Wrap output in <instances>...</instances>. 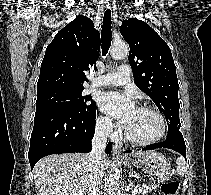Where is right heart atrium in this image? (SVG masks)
Masks as SVG:
<instances>
[{"instance_id":"1","label":"right heart atrium","mask_w":211,"mask_h":195,"mask_svg":"<svg viewBox=\"0 0 211 195\" xmlns=\"http://www.w3.org/2000/svg\"><path fill=\"white\" fill-rule=\"evenodd\" d=\"M98 130L108 136H113L115 134V126L110 117L100 116L97 120Z\"/></svg>"}]
</instances>
